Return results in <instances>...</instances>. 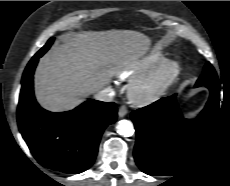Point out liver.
Segmentation results:
<instances>
[{"mask_svg":"<svg viewBox=\"0 0 230 186\" xmlns=\"http://www.w3.org/2000/svg\"><path fill=\"white\" fill-rule=\"evenodd\" d=\"M149 45V37L132 30L66 34L64 43L52 47L39 61L34 83L37 101L51 112L71 110L104 88Z\"/></svg>","mask_w":230,"mask_h":186,"instance_id":"6515ba94","label":"liver"}]
</instances>
